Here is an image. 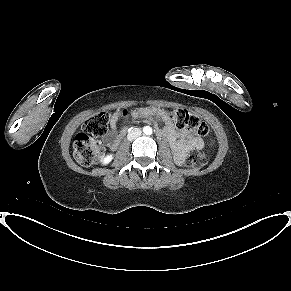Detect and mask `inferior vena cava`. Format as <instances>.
Instances as JSON below:
<instances>
[{"instance_id": "1", "label": "inferior vena cava", "mask_w": 291, "mask_h": 291, "mask_svg": "<svg viewBox=\"0 0 291 291\" xmlns=\"http://www.w3.org/2000/svg\"><path fill=\"white\" fill-rule=\"evenodd\" d=\"M142 131L139 128H133L127 135V139L132 141L141 135Z\"/></svg>"}]
</instances>
